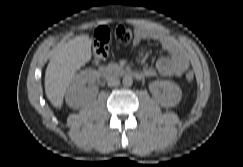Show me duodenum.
Returning <instances> with one entry per match:
<instances>
[{
  "instance_id": "410a0bca",
  "label": "duodenum",
  "mask_w": 243,
  "mask_h": 167,
  "mask_svg": "<svg viewBox=\"0 0 243 167\" xmlns=\"http://www.w3.org/2000/svg\"><path fill=\"white\" fill-rule=\"evenodd\" d=\"M99 75L106 77H113L115 75L130 76L136 79H142L145 75L142 71L125 69L122 67L115 66H100L97 69Z\"/></svg>"
}]
</instances>
